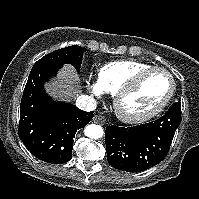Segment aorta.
Wrapping results in <instances>:
<instances>
[{"mask_svg": "<svg viewBox=\"0 0 199 199\" xmlns=\"http://www.w3.org/2000/svg\"><path fill=\"white\" fill-rule=\"evenodd\" d=\"M84 133L87 137L92 139L102 138L104 131L100 125L90 124L84 129Z\"/></svg>", "mask_w": 199, "mask_h": 199, "instance_id": "aorta-1", "label": "aorta"}]
</instances>
